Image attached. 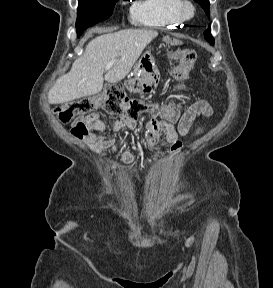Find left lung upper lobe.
<instances>
[{
	"label": "left lung upper lobe",
	"mask_w": 273,
	"mask_h": 288,
	"mask_svg": "<svg viewBox=\"0 0 273 288\" xmlns=\"http://www.w3.org/2000/svg\"><path fill=\"white\" fill-rule=\"evenodd\" d=\"M195 1L200 4V6L206 11L207 14H209V7H210L209 0H195ZM204 36H205V39L211 45L214 44V39H213L211 32H210V27L204 32Z\"/></svg>",
	"instance_id": "1"
}]
</instances>
